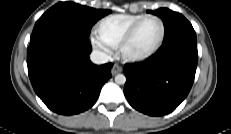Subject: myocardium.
<instances>
[{"mask_svg":"<svg viewBox=\"0 0 231 134\" xmlns=\"http://www.w3.org/2000/svg\"><path fill=\"white\" fill-rule=\"evenodd\" d=\"M150 18L157 19L161 24V35H160L158 43L156 44V46L152 50H150L149 52H147L145 54L129 55L126 52V48L128 47V45L130 44V42L134 38L140 25L145 20L150 19ZM165 34H166V26H165V23L161 17H159L158 15H155V14L144 15L142 18H140L138 21H136L130 27V29L127 31L125 36L122 38V40L120 41V43L118 45V52H119L121 58L124 61L129 62V63H138V62L146 61V60L150 59L151 57H153L159 51V49L162 47L164 39H165Z\"/></svg>","mask_w":231,"mask_h":134,"instance_id":"1","label":"myocardium"}]
</instances>
